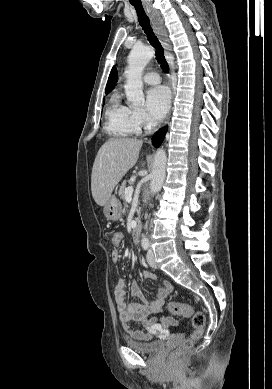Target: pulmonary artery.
Here are the masks:
<instances>
[{"label":"pulmonary artery","mask_w":272,"mask_h":389,"mask_svg":"<svg viewBox=\"0 0 272 389\" xmlns=\"http://www.w3.org/2000/svg\"><path fill=\"white\" fill-rule=\"evenodd\" d=\"M144 81L151 85L158 84L160 82V76L156 72H148L144 75Z\"/></svg>","instance_id":"e3ab8cb5"}]
</instances>
